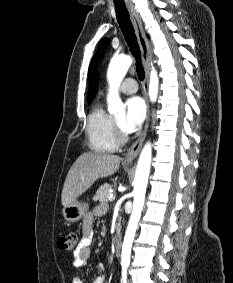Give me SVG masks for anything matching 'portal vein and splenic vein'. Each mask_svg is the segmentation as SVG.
<instances>
[{
    "label": "portal vein and splenic vein",
    "instance_id": "18ae733b",
    "mask_svg": "<svg viewBox=\"0 0 233 283\" xmlns=\"http://www.w3.org/2000/svg\"><path fill=\"white\" fill-rule=\"evenodd\" d=\"M108 199H109L110 201L114 200V199H115V195H114V194H110L109 197H108Z\"/></svg>",
    "mask_w": 233,
    "mask_h": 283
}]
</instances>
